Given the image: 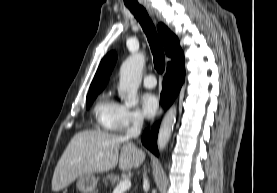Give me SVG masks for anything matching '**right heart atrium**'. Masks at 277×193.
<instances>
[{"instance_id": "obj_1", "label": "right heart atrium", "mask_w": 277, "mask_h": 193, "mask_svg": "<svg viewBox=\"0 0 277 193\" xmlns=\"http://www.w3.org/2000/svg\"><path fill=\"white\" fill-rule=\"evenodd\" d=\"M117 129L126 130L133 126L140 125L143 121L141 114L125 105H119L117 112Z\"/></svg>"}]
</instances>
